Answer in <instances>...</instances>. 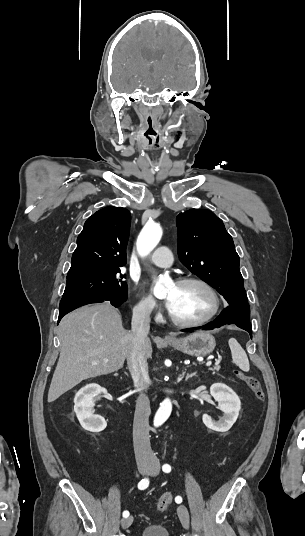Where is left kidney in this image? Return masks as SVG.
<instances>
[{
	"label": "left kidney",
	"instance_id": "obj_1",
	"mask_svg": "<svg viewBox=\"0 0 305 536\" xmlns=\"http://www.w3.org/2000/svg\"><path fill=\"white\" fill-rule=\"evenodd\" d=\"M210 394L218 402L219 410L224 412V416L220 418L219 422H215L210 416L203 414L202 420L210 430L228 432L238 418L241 402L237 394L226 384H213L210 388Z\"/></svg>",
	"mask_w": 305,
	"mask_h": 536
}]
</instances>
